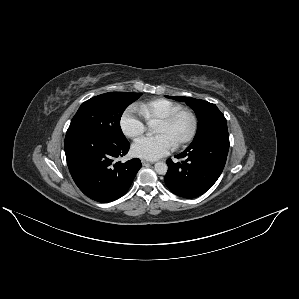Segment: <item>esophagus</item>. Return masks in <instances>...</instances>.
I'll list each match as a JSON object with an SVG mask.
<instances>
[{"instance_id":"obj_1","label":"esophagus","mask_w":299,"mask_h":299,"mask_svg":"<svg viewBox=\"0 0 299 299\" xmlns=\"http://www.w3.org/2000/svg\"><path fill=\"white\" fill-rule=\"evenodd\" d=\"M141 162H142L143 165L154 164V162L147 161V160H142Z\"/></svg>"}]
</instances>
